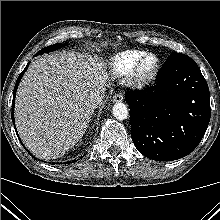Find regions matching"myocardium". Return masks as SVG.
<instances>
[{
    "mask_svg": "<svg viewBox=\"0 0 220 220\" xmlns=\"http://www.w3.org/2000/svg\"><path fill=\"white\" fill-rule=\"evenodd\" d=\"M148 58L153 59V64L148 70H143V64ZM158 70V57L153 53H146L134 64L128 73L127 84L134 89H142L155 79Z\"/></svg>",
    "mask_w": 220,
    "mask_h": 220,
    "instance_id": "myocardium-1",
    "label": "myocardium"
}]
</instances>
